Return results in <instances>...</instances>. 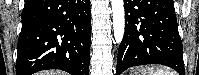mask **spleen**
<instances>
[{
  "label": "spleen",
  "instance_id": "obj_1",
  "mask_svg": "<svg viewBox=\"0 0 199 75\" xmlns=\"http://www.w3.org/2000/svg\"><path fill=\"white\" fill-rule=\"evenodd\" d=\"M135 75H176V72L170 70L165 67H145L142 68L138 73H134Z\"/></svg>",
  "mask_w": 199,
  "mask_h": 75
}]
</instances>
